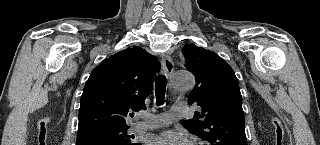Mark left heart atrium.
<instances>
[{
	"label": "left heart atrium",
	"mask_w": 320,
	"mask_h": 145,
	"mask_svg": "<svg viewBox=\"0 0 320 145\" xmlns=\"http://www.w3.org/2000/svg\"><path fill=\"white\" fill-rule=\"evenodd\" d=\"M152 145H190L189 138L182 132L166 131L150 138Z\"/></svg>",
	"instance_id": "39dd6f15"
}]
</instances>
